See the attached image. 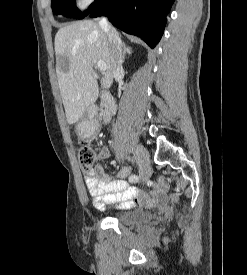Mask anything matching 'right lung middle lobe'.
Returning a JSON list of instances; mask_svg holds the SVG:
<instances>
[{"label": "right lung middle lobe", "mask_w": 247, "mask_h": 275, "mask_svg": "<svg viewBox=\"0 0 247 275\" xmlns=\"http://www.w3.org/2000/svg\"><path fill=\"white\" fill-rule=\"evenodd\" d=\"M104 1L105 0H95V2L89 7V9L83 13V15L77 9L75 5V0H52L51 4L54 14H61L65 17L79 19L88 15L91 11L97 8Z\"/></svg>", "instance_id": "obj_1"}]
</instances>
